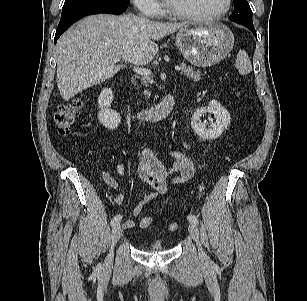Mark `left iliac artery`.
<instances>
[{
	"mask_svg": "<svg viewBox=\"0 0 307 301\" xmlns=\"http://www.w3.org/2000/svg\"><path fill=\"white\" fill-rule=\"evenodd\" d=\"M187 219L189 220L190 223H194L195 225L198 224V219L196 216L194 215H188L187 216Z\"/></svg>",
	"mask_w": 307,
	"mask_h": 301,
	"instance_id": "left-iliac-artery-1",
	"label": "left iliac artery"
}]
</instances>
